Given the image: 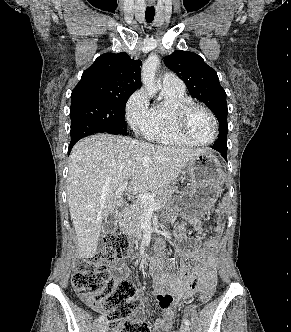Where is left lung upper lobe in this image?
<instances>
[{
    "label": "left lung upper lobe",
    "instance_id": "left-lung-upper-lobe-1",
    "mask_svg": "<svg viewBox=\"0 0 291 332\" xmlns=\"http://www.w3.org/2000/svg\"><path fill=\"white\" fill-rule=\"evenodd\" d=\"M164 63L185 82L190 94L216 115L220 127L218 140L227 143L226 92L220 85L215 70L201 56L189 51L176 50L164 59Z\"/></svg>",
    "mask_w": 291,
    "mask_h": 332
}]
</instances>
